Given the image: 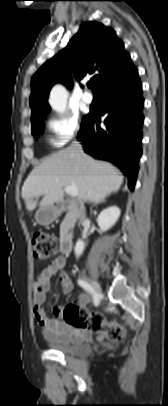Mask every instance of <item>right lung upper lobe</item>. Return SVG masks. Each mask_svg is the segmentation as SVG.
Segmentation results:
<instances>
[{
  "instance_id": "cb5924a9",
  "label": "right lung upper lobe",
  "mask_w": 168,
  "mask_h": 406,
  "mask_svg": "<svg viewBox=\"0 0 168 406\" xmlns=\"http://www.w3.org/2000/svg\"><path fill=\"white\" fill-rule=\"evenodd\" d=\"M132 66L130 55L113 29L98 22H84L67 47L45 62L32 77V124L44 119L50 111L47 99L56 82L71 86V70L77 80L92 75L90 81L97 92Z\"/></svg>"
}]
</instances>
